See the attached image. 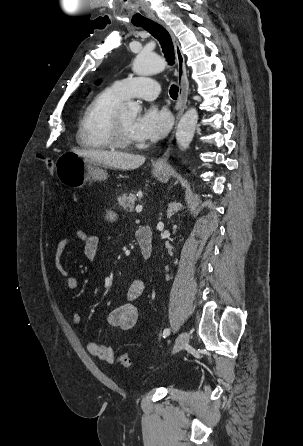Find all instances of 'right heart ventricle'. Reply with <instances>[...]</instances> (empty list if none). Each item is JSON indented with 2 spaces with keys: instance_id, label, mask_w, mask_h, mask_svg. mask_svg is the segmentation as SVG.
I'll list each match as a JSON object with an SVG mask.
<instances>
[{
  "instance_id": "obj_1",
  "label": "right heart ventricle",
  "mask_w": 303,
  "mask_h": 446,
  "mask_svg": "<svg viewBox=\"0 0 303 446\" xmlns=\"http://www.w3.org/2000/svg\"><path fill=\"white\" fill-rule=\"evenodd\" d=\"M124 100L113 86L100 91L87 105L79 121L77 143L90 150L113 148L112 122Z\"/></svg>"
}]
</instances>
